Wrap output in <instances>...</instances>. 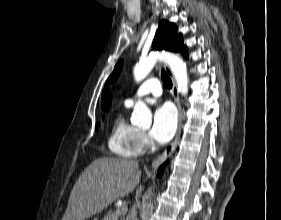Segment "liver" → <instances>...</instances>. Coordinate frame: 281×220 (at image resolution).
Wrapping results in <instances>:
<instances>
[{"mask_svg":"<svg viewBox=\"0 0 281 220\" xmlns=\"http://www.w3.org/2000/svg\"><path fill=\"white\" fill-rule=\"evenodd\" d=\"M138 167V162L130 159L94 160L76 181L62 220H85L132 193L141 178Z\"/></svg>","mask_w":281,"mask_h":220,"instance_id":"1","label":"liver"}]
</instances>
